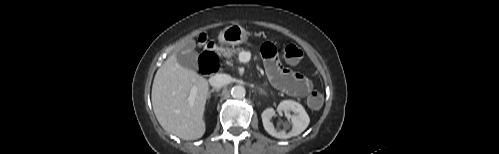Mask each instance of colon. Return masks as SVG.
Listing matches in <instances>:
<instances>
[{"label": "colon", "mask_w": 499, "mask_h": 154, "mask_svg": "<svg viewBox=\"0 0 499 154\" xmlns=\"http://www.w3.org/2000/svg\"><path fill=\"white\" fill-rule=\"evenodd\" d=\"M200 39H201V41H205L206 38H205V36H202ZM283 55H284V59L286 60L287 63L296 64L301 60V58L303 56V52L298 46H296L294 44H288L284 47ZM209 56H210L213 71L218 70V68H219L218 56L216 54H213V53H210ZM307 102L311 108H314V109L320 108L323 104V96L318 91H312L308 96Z\"/></svg>", "instance_id": "5ec220e1"}]
</instances>
